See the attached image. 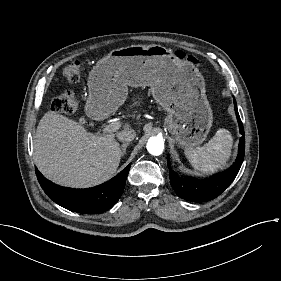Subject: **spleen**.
Returning <instances> with one entry per match:
<instances>
[{"mask_svg":"<svg viewBox=\"0 0 281 281\" xmlns=\"http://www.w3.org/2000/svg\"><path fill=\"white\" fill-rule=\"evenodd\" d=\"M234 136L227 129H219L215 136L200 148L184 151L191 167L202 173L214 175L227 166L231 159Z\"/></svg>","mask_w":281,"mask_h":281,"instance_id":"1","label":"spleen"}]
</instances>
